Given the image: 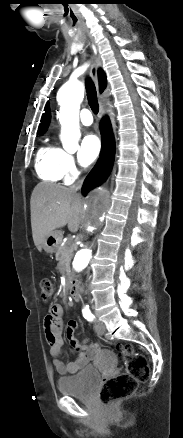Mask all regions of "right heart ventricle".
<instances>
[{
    "label": "right heart ventricle",
    "mask_w": 183,
    "mask_h": 438,
    "mask_svg": "<svg viewBox=\"0 0 183 438\" xmlns=\"http://www.w3.org/2000/svg\"><path fill=\"white\" fill-rule=\"evenodd\" d=\"M62 150L46 145L37 155L36 169L40 177L50 182H57L64 177L61 168Z\"/></svg>",
    "instance_id": "1"
}]
</instances>
